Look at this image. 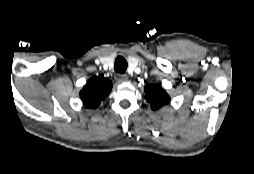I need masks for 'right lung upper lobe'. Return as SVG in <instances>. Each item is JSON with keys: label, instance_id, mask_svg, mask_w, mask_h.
<instances>
[{"label": "right lung upper lobe", "instance_id": "obj_1", "mask_svg": "<svg viewBox=\"0 0 254 174\" xmlns=\"http://www.w3.org/2000/svg\"><path fill=\"white\" fill-rule=\"evenodd\" d=\"M112 89V83L107 78L94 76L80 91V97L86 108H97L101 100H104Z\"/></svg>", "mask_w": 254, "mask_h": 174}]
</instances>
